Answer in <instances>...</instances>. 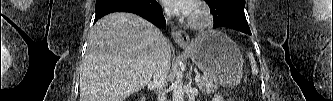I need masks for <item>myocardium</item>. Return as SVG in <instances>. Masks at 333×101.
I'll return each mask as SVG.
<instances>
[{"instance_id":"f54148a6","label":"myocardium","mask_w":333,"mask_h":101,"mask_svg":"<svg viewBox=\"0 0 333 101\" xmlns=\"http://www.w3.org/2000/svg\"><path fill=\"white\" fill-rule=\"evenodd\" d=\"M195 13L188 18V25L194 29H205L213 22L211 10L204 4H197Z\"/></svg>"}]
</instances>
